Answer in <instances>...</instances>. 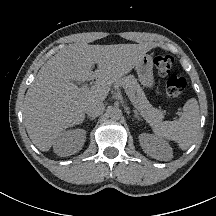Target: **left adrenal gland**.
Instances as JSON below:
<instances>
[{
  "mask_svg": "<svg viewBox=\"0 0 216 216\" xmlns=\"http://www.w3.org/2000/svg\"><path fill=\"white\" fill-rule=\"evenodd\" d=\"M134 113L135 114L133 115V117L139 121H142V119L139 117L138 113L136 111H134Z\"/></svg>",
  "mask_w": 216,
  "mask_h": 216,
  "instance_id": "left-adrenal-gland-1",
  "label": "left adrenal gland"
}]
</instances>
